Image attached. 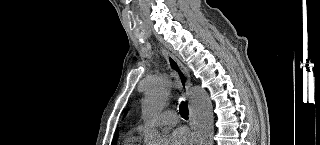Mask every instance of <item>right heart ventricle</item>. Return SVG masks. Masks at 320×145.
Returning <instances> with one entry per match:
<instances>
[{"label":"right heart ventricle","instance_id":"obj_1","mask_svg":"<svg viewBox=\"0 0 320 145\" xmlns=\"http://www.w3.org/2000/svg\"><path fill=\"white\" fill-rule=\"evenodd\" d=\"M125 145H137V140H136L135 138L129 137V138L125 141Z\"/></svg>","mask_w":320,"mask_h":145}]
</instances>
